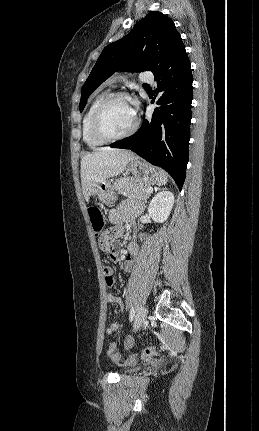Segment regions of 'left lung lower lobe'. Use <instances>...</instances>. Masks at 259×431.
Segmentation results:
<instances>
[{
	"mask_svg": "<svg viewBox=\"0 0 259 431\" xmlns=\"http://www.w3.org/2000/svg\"><path fill=\"white\" fill-rule=\"evenodd\" d=\"M157 81L152 118L144 120L134 135L111 144L130 149L153 165L165 169L182 189L188 163L192 71L182 39L171 49L159 68L153 72Z\"/></svg>",
	"mask_w": 259,
	"mask_h": 431,
	"instance_id": "0a47b994",
	"label": "left lung lower lobe"
}]
</instances>
